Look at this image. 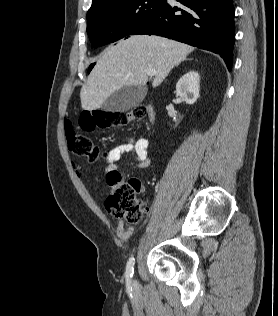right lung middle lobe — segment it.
Returning <instances> with one entry per match:
<instances>
[{"instance_id": "dd1d6c3e", "label": "right lung middle lobe", "mask_w": 278, "mask_h": 316, "mask_svg": "<svg viewBox=\"0 0 278 316\" xmlns=\"http://www.w3.org/2000/svg\"><path fill=\"white\" fill-rule=\"evenodd\" d=\"M164 0H108L89 9L87 33L98 47L131 35L162 5Z\"/></svg>"}]
</instances>
